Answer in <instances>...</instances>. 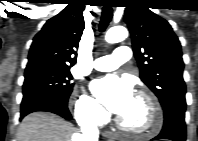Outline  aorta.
<instances>
[{
    "instance_id": "762f6f07",
    "label": "aorta",
    "mask_w": 198,
    "mask_h": 141,
    "mask_svg": "<svg viewBox=\"0 0 198 141\" xmlns=\"http://www.w3.org/2000/svg\"><path fill=\"white\" fill-rule=\"evenodd\" d=\"M128 37V31L123 26H115L110 28L106 35L105 40L108 43H117L125 40Z\"/></svg>"
}]
</instances>
